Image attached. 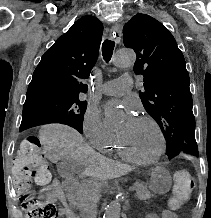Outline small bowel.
Masks as SVG:
<instances>
[{
    "mask_svg": "<svg viewBox=\"0 0 211 218\" xmlns=\"http://www.w3.org/2000/svg\"><path fill=\"white\" fill-rule=\"evenodd\" d=\"M41 199L52 204L59 205V215L63 218H77L76 214L68 207L63 185L58 179H54L40 194ZM146 218H177V215L171 210H163L160 214L150 213Z\"/></svg>",
    "mask_w": 211,
    "mask_h": 218,
    "instance_id": "small-bowel-1",
    "label": "small bowel"
}]
</instances>
